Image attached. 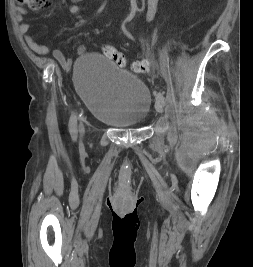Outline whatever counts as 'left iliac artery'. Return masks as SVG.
I'll use <instances>...</instances> for the list:
<instances>
[{
    "mask_svg": "<svg viewBox=\"0 0 253 267\" xmlns=\"http://www.w3.org/2000/svg\"><path fill=\"white\" fill-rule=\"evenodd\" d=\"M156 100L164 103L165 98H164V96L161 93H157L156 94Z\"/></svg>",
    "mask_w": 253,
    "mask_h": 267,
    "instance_id": "obj_1",
    "label": "left iliac artery"
}]
</instances>
